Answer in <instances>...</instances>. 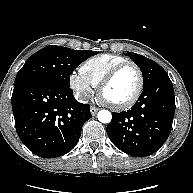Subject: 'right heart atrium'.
Segmentation results:
<instances>
[{"label": "right heart atrium", "instance_id": "d8ad5b80", "mask_svg": "<svg viewBox=\"0 0 193 193\" xmlns=\"http://www.w3.org/2000/svg\"><path fill=\"white\" fill-rule=\"evenodd\" d=\"M69 86L80 102H87L93 94V86L80 73L73 71L69 75Z\"/></svg>", "mask_w": 193, "mask_h": 193}]
</instances>
